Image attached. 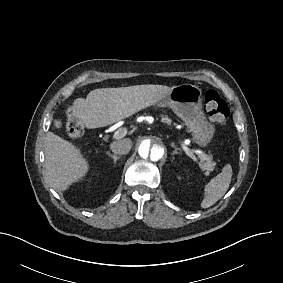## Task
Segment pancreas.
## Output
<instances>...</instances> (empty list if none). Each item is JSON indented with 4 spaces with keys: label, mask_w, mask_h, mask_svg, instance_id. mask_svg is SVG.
Here are the masks:
<instances>
[{
    "label": "pancreas",
    "mask_w": 283,
    "mask_h": 283,
    "mask_svg": "<svg viewBox=\"0 0 283 283\" xmlns=\"http://www.w3.org/2000/svg\"><path fill=\"white\" fill-rule=\"evenodd\" d=\"M162 122L164 124L170 125L172 121L168 117H163ZM216 161L212 159L211 155L202 154L200 156V161L198 162V167L204 176L207 177L210 172L215 169Z\"/></svg>",
    "instance_id": "obj_1"
}]
</instances>
